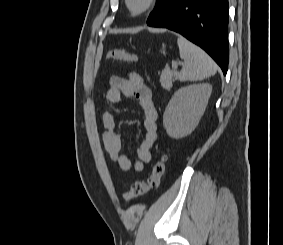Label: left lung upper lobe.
Here are the masks:
<instances>
[{"label":"left lung upper lobe","mask_w":283,"mask_h":245,"mask_svg":"<svg viewBox=\"0 0 283 245\" xmlns=\"http://www.w3.org/2000/svg\"><path fill=\"white\" fill-rule=\"evenodd\" d=\"M172 2L173 0H157L156 6L152 13L149 15L147 22H150L158 15H160Z\"/></svg>","instance_id":"1"}]
</instances>
